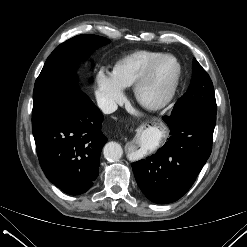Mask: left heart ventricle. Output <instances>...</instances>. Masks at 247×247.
<instances>
[{
  "label": "left heart ventricle",
  "instance_id": "obj_1",
  "mask_svg": "<svg viewBox=\"0 0 247 247\" xmlns=\"http://www.w3.org/2000/svg\"><path fill=\"white\" fill-rule=\"evenodd\" d=\"M176 66L173 60L166 59L162 61L155 69L149 83L147 84L144 94L149 99H156L162 96L169 87Z\"/></svg>",
  "mask_w": 247,
  "mask_h": 247
}]
</instances>
